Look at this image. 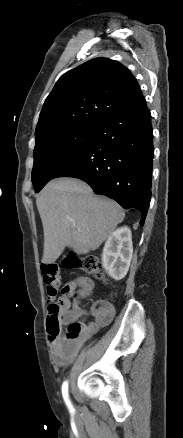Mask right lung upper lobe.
<instances>
[{"mask_svg":"<svg viewBox=\"0 0 183 438\" xmlns=\"http://www.w3.org/2000/svg\"><path fill=\"white\" fill-rule=\"evenodd\" d=\"M144 100L131 72L107 58L92 59L65 73L46 98L36 139L50 131L103 120Z\"/></svg>","mask_w":183,"mask_h":438,"instance_id":"1","label":"right lung upper lobe"}]
</instances>
